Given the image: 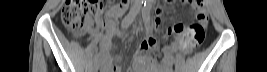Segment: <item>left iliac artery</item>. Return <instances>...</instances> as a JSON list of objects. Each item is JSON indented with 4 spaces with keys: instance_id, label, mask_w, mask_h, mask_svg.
I'll return each instance as SVG.
<instances>
[{
    "instance_id": "1",
    "label": "left iliac artery",
    "mask_w": 267,
    "mask_h": 72,
    "mask_svg": "<svg viewBox=\"0 0 267 72\" xmlns=\"http://www.w3.org/2000/svg\"><path fill=\"white\" fill-rule=\"evenodd\" d=\"M152 7V3L151 1H146L144 3V7H143V10H142V15H143V18H144V21L146 23V25L148 27H150V23H151V19H150V9Z\"/></svg>"
}]
</instances>
